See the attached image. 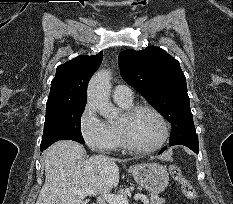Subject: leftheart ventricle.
Masks as SVG:
<instances>
[{"instance_id": "b2bd125f", "label": "left heart ventricle", "mask_w": 233, "mask_h": 204, "mask_svg": "<svg viewBox=\"0 0 233 204\" xmlns=\"http://www.w3.org/2000/svg\"><path fill=\"white\" fill-rule=\"evenodd\" d=\"M122 121V116L119 122ZM132 141L140 147H152L162 137V126L159 120L148 111H141L129 123Z\"/></svg>"}]
</instances>
